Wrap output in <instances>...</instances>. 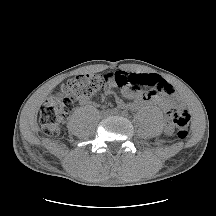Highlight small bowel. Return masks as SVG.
I'll list each match as a JSON object with an SVG mask.
<instances>
[{
    "instance_id": "obj_1",
    "label": "small bowel",
    "mask_w": 216,
    "mask_h": 216,
    "mask_svg": "<svg viewBox=\"0 0 216 216\" xmlns=\"http://www.w3.org/2000/svg\"><path fill=\"white\" fill-rule=\"evenodd\" d=\"M120 75L117 78V83L120 85L119 92L127 99L134 100L135 105H143L146 103H154L164 110H169L173 105L180 102V98L175 94V89L164 79L156 74L151 73H127ZM112 84L104 93L111 94L114 92ZM117 105L123 107L122 100L117 99ZM169 134L172 131V126L168 124L165 129Z\"/></svg>"
}]
</instances>
